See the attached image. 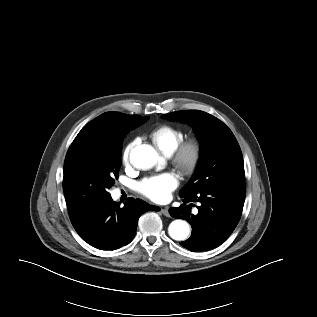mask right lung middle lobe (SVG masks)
Here are the masks:
<instances>
[{
	"label": "right lung middle lobe",
	"instance_id": "right-lung-middle-lobe-1",
	"mask_svg": "<svg viewBox=\"0 0 317 317\" xmlns=\"http://www.w3.org/2000/svg\"><path fill=\"white\" fill-rule=\"evenodd\" d=\"M112 113L116 123L109 130V136L78 134L71 144L64 163L63 190L66 198L89 204L110 197L108 189L119 176L124 134L149 119Z\"/></svg>",
	"mask_w": 317,
	"mask_h": 317
}]
</instances>
